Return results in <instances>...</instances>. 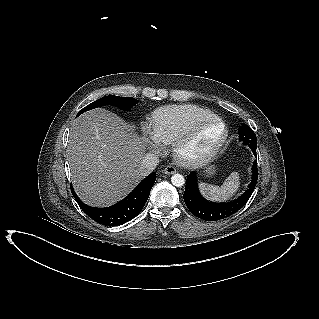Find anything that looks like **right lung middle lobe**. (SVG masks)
<instances>
[{"label": "right lung middle lobe", "instance_id": "1", "mask_svg": "<svg viewBox=\"0 0 319 319\" xmlns=\"http://www.w3.org/2000/svg\"><path fill=\"white\" fill-rule=\"evenodd\" d=\"M138 100L132 98V97H119V96H114V95H109L103 98H100L99 100L87 105L84 107L77 116L82 114L83 112L97 108L103 105H113V106H118L120 109L123 110H130Z\"/></svg>", "mask_w": 319, "mask_h": 319}]
</instances>
